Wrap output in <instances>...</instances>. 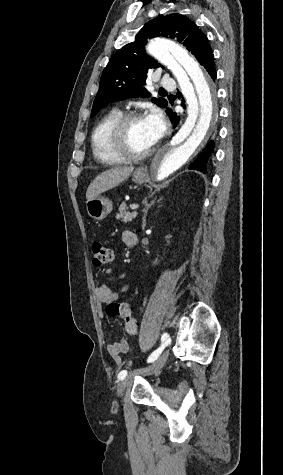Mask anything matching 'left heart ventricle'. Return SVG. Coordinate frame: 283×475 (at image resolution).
I'll return each mask as SVG.
<instances>
[{"label":"left heart ventricle","instance_id":"left-heart-ventricle-1","mask_svg":"<svg viewBox=\"0 0 283 475\" xmlns=\"http://www.w3.org/2000/svg\"><path fill=\"white\" fill-rule=\"evenodd\" d=\"M151 128L145 117L133 121L129 127L126 142L122 145L113 143L105 148V154L112 158L141 155L155 145L150 133Z\"/></svg>","mask_w":283,"mask_h":475}]
</instances>
